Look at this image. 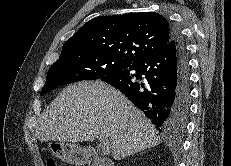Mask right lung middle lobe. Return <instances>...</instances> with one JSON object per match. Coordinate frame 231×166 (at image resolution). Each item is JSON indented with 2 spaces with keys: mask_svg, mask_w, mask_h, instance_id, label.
Instances as JSON below:
<instances>
[{
  "mask_svg": "<svg viewBox=\"0 0 231 166\" xmlns=\"http://www.w3.org/2000/svg\"><path fill=\"white\" fill-rule=\"evenodd\" d=\"M131 63L132 61L97 52H80L59 57L50 67L40 95L61 85L100 79L105 75L128 68Z\"/></svg>",
  "mask_w": 231,
  "mask_h": 166,
  "instance_id": "1",
  "label": "right lung middle lobe"
}]
</instances>
